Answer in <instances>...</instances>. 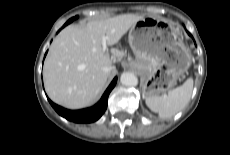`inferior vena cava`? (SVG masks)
Returning a JSON list of instances; mask_svg holds the SVG:
<instances>
[{"label": "inferior vena cava", "mask_w": 230, "mask_h": 155, "mask_svg": "<svg viewBox=\"0 0 230 155\" xmlns=\"http://www.w3.org/2000/svg\"><path fill=\"white\" fill-rule=\"evenodd\" d=\"M113 69H114V67H113L111 64L108 65V66H105V67L103 68V70H104L105 72L109 73V74H110V72H111Z\"/></svg>", "instance_id": "1"}]
</instances>
